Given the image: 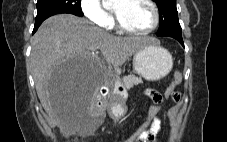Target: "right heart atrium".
Masks as SVG:
<instances>
[{
    "instance_id": "1",
    "label": "right heart atrium",
    "mask_w": 227,
    "mask_h": 142,
    "mask_svg": "<svg viewBox=\"0 0 227 142\" xmlns=\"http://www.w3.org/2000/svg\"><path fill=\"white\" fill-rule=\"evenodd\" d=\"M80 7L84 16L93 24L103 28L111 24V15L99 0H81Z\"/></svg>"
}]
</instances>
